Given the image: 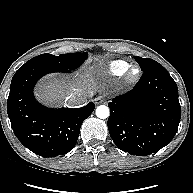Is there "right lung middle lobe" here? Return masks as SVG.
Here are the masks:
<instances>
[{
    "label": "right lung middle lobe",
    "mask_w": 193,
    "mask_h": 193,
    "mask_svg": "<svg viewBox=\"0 0 193 193\" xmlns=\"http://www.w3.org/2000/svg\"><path fill=\"white\" fill-rule=\"evenodd\" d=\"M87 57V53H70L59 56L41 54L27 61L21 68L42 67L60 71L72 70L79 67Z\"/></svg>",
    "instance_id": "obj_1"
}]
</instances>
